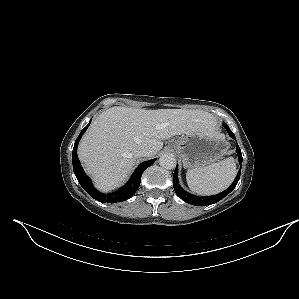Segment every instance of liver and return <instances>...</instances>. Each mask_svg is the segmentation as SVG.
Masks as SVG:
<instances>
[{
  "label": "liver",
  "instance_id": "6515ba94",
  "mask_svg": "<svg viewBox=\"0 0 299 299\" xmlns=\"http://www.w3.org/2000/svg\"><path fill=\"white\" fill-rule=\"evenodd\" d=\"M215 117L201 110H145L115 106L102 112L83 136L78 156L95 186L108 192L131 172L136 153L148 148L153 157L163 140L175 135L211 130Z\"/></svg>",
  "mask_w": 299,
  "mask_h": 299
}]
</instances>
